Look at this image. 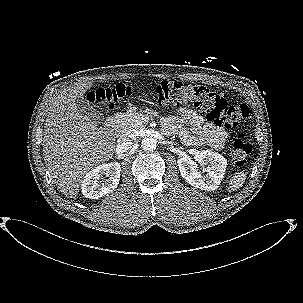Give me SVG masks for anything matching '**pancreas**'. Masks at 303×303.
Listing matches in <instances>:
<instances>
[{
    "label": "pancreas",
    "mask_w": 303,
    "mask_h": 303,
    "mask_svg": "<svg viewBox=\"0 0 303 303\" xmlns=\"http://www.w3.org/2000/svg\"><path fill=\"white\" fill-rule=\"evenodd\" d=\"M146 114L137 113V112H127L121 113L118 115V124H117V132L121 134H126L132 131L142 130L146 126V121L153 116H157L156 112L147 109L145 111Z\"/></svg>",
    "instance_id": "pancreas-1"
}]
</instances>
